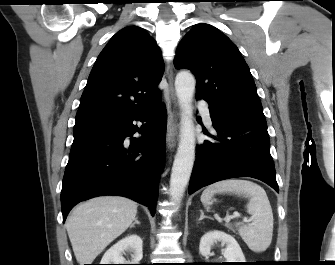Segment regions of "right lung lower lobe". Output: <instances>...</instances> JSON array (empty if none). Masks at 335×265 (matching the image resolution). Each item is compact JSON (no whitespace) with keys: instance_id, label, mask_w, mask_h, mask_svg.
Listing matches in <instances>:
<instances>
[{"instance_id":"1","label":"right lung lower lobe","mask_w":335,"mask_h":265,"mask_svg":"<svg viewBox=\"0 0 335 265\" xmlns=\"http://www.w3.org/2000/svg\"><path fill=\"white\" fill-rule=\"evenodd\" d=\"M134 120L145 123L138 128ZM166 126L161 99L148 110L74 133L61 190L63 222L77 203L101 195L131 198L154 215ZM135 132L142 138L127 141Z\"/></svg>"}]
</instances>
